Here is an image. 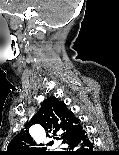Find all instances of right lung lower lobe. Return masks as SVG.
<instances>
[{
  "label": "right lung lower lobe",
  "instance_id": "right-lung-lower-lobe-1",
  "mask_svg": "<svg viewBox=\"0 0 119 155\" xmlns=\"http://www.w3.org/2000/svg\"><path fill=\"white\" fill-rule=\"evenodd\" d=\"M65 143L69 146L68 150L56 155H97L93 150V143L89 140L83 128L72 135Z\"/></svg>",
  "mask_w": 119,
  "mask_h": 155
}]
</instances>
